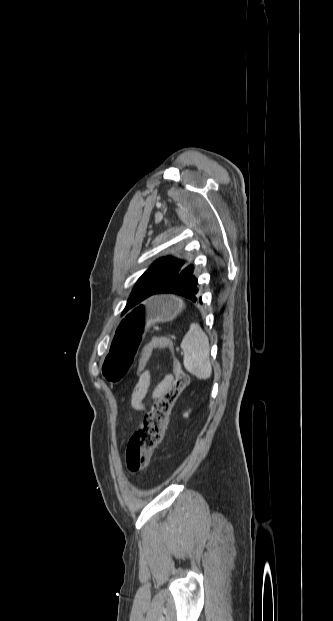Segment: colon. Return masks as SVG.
<instances>
[{
    "mask_svg": "<svg viewBox=\"0 0 333 621\" xmlns=\"http://www.w3.org/2000/svg\"><path fill=\"white\" fill-rule=\"evenodd\" d=\"M157 348H169L173 351L172 344L168 339L164 337L153 338L142 352L138 368L139 376L143 373V368L152 351ZM174 375L175 379L170 388L154 402L150 411L145 415L142 424L128 442L125 458L127 469L131 473H138L148 466L153 451L162 440L174 403L189 385V376L183 371L178 359L174 360Z\"/></svg>",
    "mask_w": 333,
    "mask_h": 621,
    "instance_id": "colon-1",
    "label": "colon"
}]
</instances>
